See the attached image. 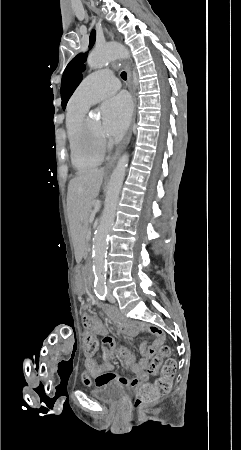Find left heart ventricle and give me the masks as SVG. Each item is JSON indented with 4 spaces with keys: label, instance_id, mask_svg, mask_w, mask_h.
I'll use <instances>...</instances> for the list:
<instances>
[{
    "label": "left heart ventricle",
    "instance_id": "left-heart-ventricle-1",
    "mask_svg": "<svg viewBox=\"0 0 241 450\" xmlns=\"http://www.w3.org/2000/svg\"><path fill=\"white\" fill-rule=\"evenodd\" d=\"M92 127L94 128V129H97L98 127H99V124L97 123V122H94L93 124H92ZM99 135L98 136H100L102 133H105L106 134V130H105V128L104 127H99ZM105 131V132H104ZM90 138L92 139V140H95L96 138H97V135L95 134V133H92L91 135H90ZM87 148V147H86ZM102 151L104 150V149H101Z\"/></svg>",
    "mask_w": 241,
    "mask_h": 450
}]
</instances>
